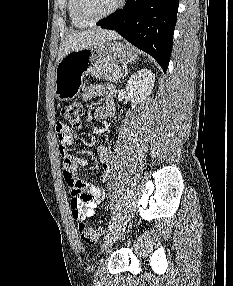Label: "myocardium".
<instances>
[{"instance_id": "myocardium-1", "label": "myocardium", "mask_w": 233, "mask_h": 286, "mask_svg": "<svg viewBox=\"0 0 233 286\" xmlns=\"http://www.w3.org/2000/svg\"><path fill=\"white\" fill-rule=\"evenodd\" d=\"M75 1H76L75 8H76L77 16L79 17V19H81L83 22H85L88 25L97 23V22L111 16L117 10H119L125 3V0H117L115 5L111 9H109L107 12H105L102 15L95 17V18H88L83 12V0H75Z\"/></svg>"}]
</instances>
